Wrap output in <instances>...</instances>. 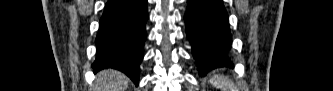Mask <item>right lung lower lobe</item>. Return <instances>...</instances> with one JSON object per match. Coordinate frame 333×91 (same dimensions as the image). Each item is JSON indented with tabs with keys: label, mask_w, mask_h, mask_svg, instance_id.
<instances>
[{
	"label": "right lung lower lobe",
	"mask_w": 333,
	"mask_h": 91,
	"mask_svg": "<svg viewBox=\"0 0 333 91\" xmlns=\"http://www.w3.org/2000/svg\"><path fill=\"white\" fill-rule=\"evenodd\" d=\"M147 19V0H109L96 38L94 72L114 68L138 85Z\"/></svg>",
	"instance_id": "1"
}]
</instances>
